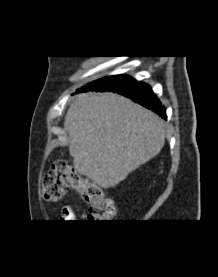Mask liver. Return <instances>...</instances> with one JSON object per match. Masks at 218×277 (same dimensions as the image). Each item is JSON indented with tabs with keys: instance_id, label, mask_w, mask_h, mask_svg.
Segmentation results:
<instances>
[{
	"instance_id": "6515ba94",
	"label": "liver",
	"mask_w": 218,
	"mask_h": 277,
	"mask_svg": "<svg viewBox=\"0 0 218 277\" xmlns=\"http://www.w3.org/2000/svg\"><path fill=\"white\" fill-rule=\"evenodd\" d=\"M64 127L74 168L102 188L118 185L165 143L161 118L114 93L77 95Z\"/></svg>"
}]
</instances>
